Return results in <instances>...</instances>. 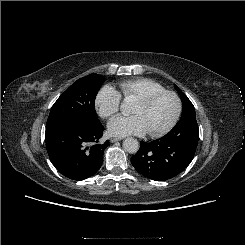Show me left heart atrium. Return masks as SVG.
I'll return each instance as SVG.
<instances>
[{"instance_id":"obj_1","label":"left heart atrium","mask_w":245,"mask_h":245,"mask_svg":"<svg viewBox=\"0 0 245 245\" xmlns=\"http://www.w3.org/2000/svg\"><path fill=\"white\" fill-rule=\"evenodd\" d=\"M108 131L113 136L143 135L147 132L143 121L137 115L119 116L108 125Z\"/></svg>"}]
</instances>
